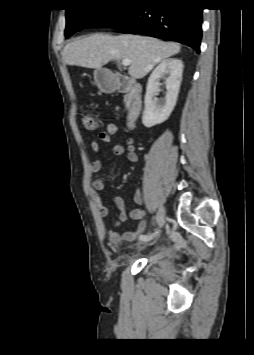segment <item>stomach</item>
I'll list each match as a JSON object with an SVG mask.
<instances>
[{
	"label": "stomach",
	"mask_w": 254,
	"mask_h": 355,
	"mask_svg": "<svg viewBox=\"0 0 254 355\" xmlns=\"http://www.w3.org/2000/svg\"><path fill=\"white\" fill-rule=\"evenodd\" d=\"M94 81L99 88L104 90L111 89L113 87V82L107 71L104 69H96L94 71Z\"/></svg>",
	"instance_id": "1"
}]
</instances>
